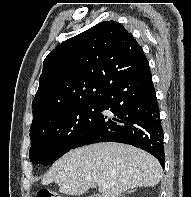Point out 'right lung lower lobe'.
<instances>
[{"instance_id": "right-lung-lower-lobe-1", "label": "right lung lower lobe", "mask_w": 191, "mask_h": 197, "mask_svg": "<svg viewBox=\"0 0 191 197\" xmlns=\"http://www.w3.org/2000/svg\"><path fill=\"white\" fill-rule=\"evenodd\" d=\"M97 102L98 115L72 149L120 142L149 152L165 167L163 131L149 65L108 87ZM104 110L111 113L103 114Z\"/></svg>"}]
</instances>
